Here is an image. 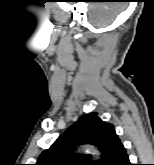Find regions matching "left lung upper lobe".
Instances as JSON below:
<instances>
[{"instance_id": "left-lung-upper-lobe-1", "label": "left lung upper lobe", "mask_w": 154, "mask_h": 165, "mask_svg": "<svg viewBox=\"0 0 154 165\" xmlns=\"http://www.w3.org/2000/svg\"><path fill=\"white\" fill-rule=\"evenodd\" d=\"M81 144L97 146L102 152V160L89 163L88 155L71 151ZM122 147L114 126L102 121L97 113H91L79 118L49 149L43 151L36 165H113Z\"/></svg>"}]
</instances>
